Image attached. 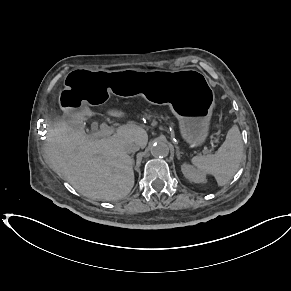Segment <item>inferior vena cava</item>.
Instances as JSON below:
<instances>
[{
	"instance_id": "obj_1",
	"label": "inferior vena cava",
	"mask_w": 291,
	"mask_h": 291,
	"mask_svg": "<svg viewBox=\"0 0 291 291\" xmlns=\"http://www.w3.org/2000/svg\"><path fill=\"white\" fill-rule=\"evenodd\" d=\"M140 149V146L137 143H128L125 145V150L127 153H134Z\"/></svg>"
}]
</instances>
